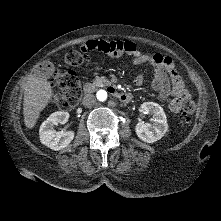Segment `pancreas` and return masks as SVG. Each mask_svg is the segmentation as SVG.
I'll use <instances>...</instances> for the list:
<instances>
[{
  "mask_svg": "<svg viewBox=\"0 0 221 221\" xmlns=\"http://www.w3.org/2000/svg\"><path fill=\"white\" fill-rule=\"evenodd\" d=\"M110 84V81L105 77H96L93 81V86L103 87Z\"/></svg>",
  "mask_w": 221,
  "mask_h": 221,
  "instance_id": "obj_1",
  "label": "pancreas"
}]
</instances>
